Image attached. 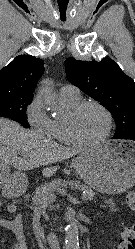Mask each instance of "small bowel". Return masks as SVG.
Instances as JSON below:
<instances>
[{
	"instance_id": "1",
	"label": "small bowel",
	"mask_w": 135,
	"mask_h": 249,
	"mask_svg": "<svg viewBox=\"0 0 135 249\" xmlns=\"http://www.w3.org/2000/svg\"><path fill=\"white\" fill-rule=\"evenodd\" d=\"M1 205L2 203L0 201V206ZM106 206L112 214L116 213L117 209L112 202L107 201ZM7 212L10 214L15 213L16 206L14 204H9L7 206ZM22 222H23V218L21 214H17L13 220H6L3 218H0V225L5 228H8L12 232V234L15 236V238L17 239V243L15 244V246H13V249H27L25 246V241H24Z\"/></svg>"
}]
</instances>
